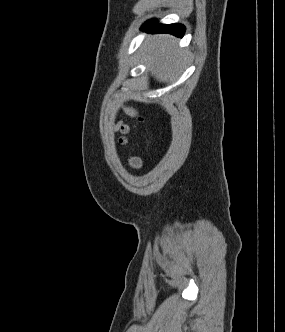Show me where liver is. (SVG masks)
<instances>
[{
    "instance_id": "obj_1",
    "label": "liver",
    "mask_w": 285,
    "mask_h": 332,
    "mask_svg": "<svg viewBox=\"0 0 285 332\" xmlns=\"http://www.w3.org/2000/svg\"><path fill=\"white\" fill-rule=\"evenodd\" d=\"M146 43L152 76L160 82H168L182 65L183 54L176 49V39L170 35H156L149 37ZM123 111L131 117L138 116L133 107H123Z\"/></svg>"
}]
</instances>
